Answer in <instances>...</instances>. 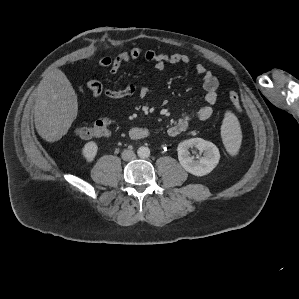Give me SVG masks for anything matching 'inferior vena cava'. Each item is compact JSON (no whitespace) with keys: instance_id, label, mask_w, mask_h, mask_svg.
I'll use <instances>...</instances> for the list:
<instances>
[{"instance_id":"1","label":"inferior vena cava","mask_w":299,"mask_h":299,"mask_svg":"<svg viewBox=\"0 0 299 299\" xmlns=\"http://www.w3.org/2000/svg\"><path fill=\"white\" fill-rule=\"evenodd\" d=\"M136 158L134 151L132 150H124L122 152V159L125 161H131Z\"/></svg>"}]
</instances>
